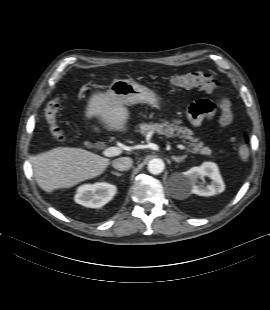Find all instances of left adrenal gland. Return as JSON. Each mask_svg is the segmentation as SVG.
I'll use <instances>...</instances> for the list:
<instances>
[{
  "label": "left adrenal gland",
  "mask_w": 270,
  "mask_h": 310,
  "mask_svg": "<svg viewBox=\"0 0 270 310\" xmlns=\"http://www.w3.org/2000/svg\"><path fill=\"white\" fill-rule=\"evenodd\" d=\"M187 157V155H183V156H172V159L177 162L180 163L181 161H183L185 158Z\"/></svg>",
  "instance_id": "a2214340"
}]
</instances>
